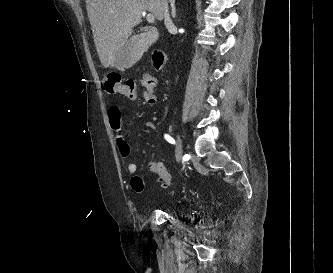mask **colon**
I'll use <instances>...</instances> for the list:
<instances>
[{"label":"colon","mask_w":333,"mask_h":273,"mask_svg":"<svg viewBox=\"0 0 333 273\" xmlns=\"http://www.w3.org/2000/svg\"><path fill=\"white\" fill-rule=\"evenodd\" d=\"M152 66L161 70L166 64V55L162 51H154L151 54ZM102 88L111 95H124L134 98L137 95L136 84L132 79H124L118 73H111L102 81ZM151 172L157 177L162 187H168L172 181V175L163 161L157 160L150 164Z\"/></svg>","instance_id":"colon-1"}]
</instances>
